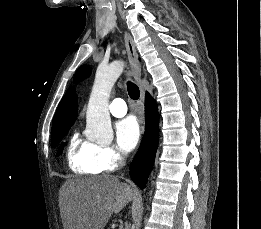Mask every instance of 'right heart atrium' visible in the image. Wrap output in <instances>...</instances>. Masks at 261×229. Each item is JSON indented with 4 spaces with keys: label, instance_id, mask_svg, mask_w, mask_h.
I'll return each instance as SVG.
<instances>
[{
    "label": "right heart atrium",
    "instance_id": "right-heart-atrium-1",
    "mask_svg": "<svg viewBox=\"0 0 261 229\" xmlns=\"http://www.w3.org/2000/svg\"><path fill=\"white\" fill-rule=\"evenodd\" d=\"M125 154L114 144H97L94 164L99 172H113L125 164Z\"/></svg>",
    "mask_w": 261,
    "mask_h": 229
}]
</instances>
